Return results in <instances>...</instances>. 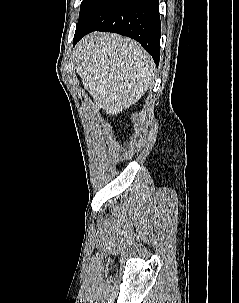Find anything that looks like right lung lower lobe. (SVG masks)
<instances>
[{"mask_svg": "<svg viewBox=\"0 0 239 303\" xmlns=\"http://www.w3.org/2000/svg\"><path fill=\"white\" fill-rule=\"evenodd\" d=\"M96 30L115 32L139 41L158 65L161 33L158 0H107L91 21L75 33L73 45Z\"/></svg>", "mask_w": 239, "mask_h": 303, "instance_id": "obj_1", "label": "right lung lower lobe"}]
</instances>
